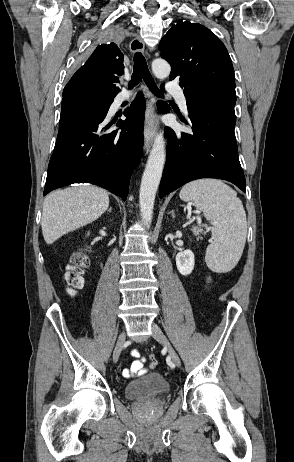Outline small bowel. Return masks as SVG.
Returning a JSON list of instances; mask_svg holds the SVG:
<instances>
[{
    "instance_id": "obj_1",
    "label": "small bowel",
    "mask_w": 294,
    "mask_h": 462,
    "mask_svg": "<svg viewBox=\"0 0 294 462\" xmlns=\"http://www.w3.org/2000/svg\"><path fill=\"white\" fill-rule=\"evenodd\" d=\"M131 356L134 357L135 360L132 362V364H131V366L129 368H125L122 371V375L125 378H131V377L143 375L148 370V368L145 367V365H144L145 358L141 357L137 350H133L131 352Z\"/></svg>"
}]
</instances>
